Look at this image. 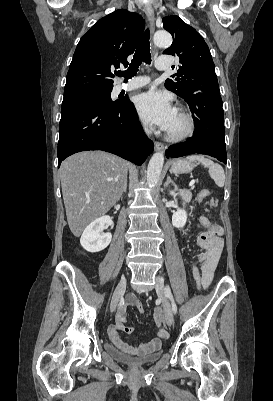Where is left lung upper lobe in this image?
<instances>
[{"mask_svg": "<svg viewBox=\"0 0 273 401\" xmlns=\"http://www.w3.org/2000/svg\"><path fill=\"white\" fill-rule=\"evenodd\" d=\"M163 27L173 37L163 54L177 56L180 62L174 79H167L165 87L182 98L193 93L220 95L214 62L201 35L176 15L163 18Z\"/></svg>", "mask_w": 273, "mask_h": 401, "instance_id": "obj_1", "label": "left lung upper lobe"}]
</instances>
